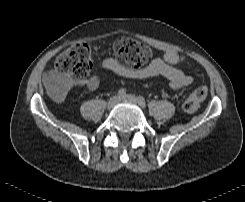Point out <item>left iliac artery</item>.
<instances>
[{
  "mask_svg": "<svg viewBox=\"0 0 245 202\" xmlns=\"http://www.w3.org/2000/svg\"><path fill=\"white\" fill-rule=\"evenodd\" d=\"M138 101H139L140 106H142L143 108L146 107L145 99L142 96L138 97Z\"/></svg>",
  "mask_w": 245,
  "mask_h": 202,
  "instance_id": "1",
  "label": "left iliac artery"
}]
</instances>
